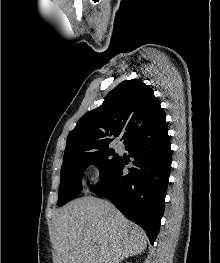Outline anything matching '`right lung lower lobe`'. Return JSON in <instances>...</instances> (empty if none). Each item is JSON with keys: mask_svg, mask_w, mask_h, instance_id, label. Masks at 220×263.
Here are the masks:
<instances>
[{"mask_svg": "<svg viewBox=\"0 0 220 263\" xmlns=\"http://www.w3.org/2000/svg\"><path fill=\"white\" fill-rule=\"evenodd\" d=\"M126 149L134 167L126 173L127 162L120 158L91 190L141 226L153 244L164 212L172 162L168 130L154 137L139 136L126 144Z\"/></svg>", "mask_w": 220, "mask_h": 263, "instance_id": "98d812e1", "label": "right lung lower lobe"}]
</instances>
